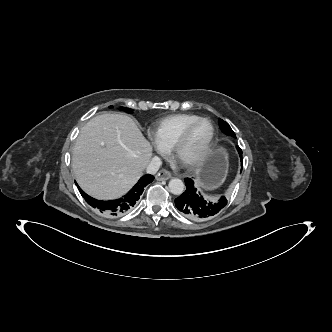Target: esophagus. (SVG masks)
Instances as JSON below:
<instances>
[{"label": "esophagus", "mask_w": 332, "mask_h": 332, "mask_svg": "<svg viewBox=\"0 0 332 332\" xmlns=\"http://www.w3.org/2000/svg\"><path fill=\"white\" fill-rule=\"evenodd\" d=\"M155 178L157 181L168 180L171 178V173L167 170H161Z\"/></svg>", "instance_id": "esophagus-1"}]
</instances>
